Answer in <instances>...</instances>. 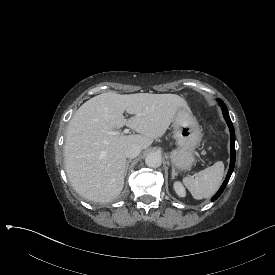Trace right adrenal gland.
I'll return each mask as SVG.
<instances>
[{"mask_svg":"<svg viewBox=\"0 0 275 275\" xmlns=\"http://www.w3.org/2000/svg\"><path fill=\"white\" fill-rule=\"evenodd\" d=\"M131 159H129L127 162H126V167H125V175L127 174V171H128V167H129V164L131 163Z\"/></svg>","mask_w":275,"mask_h":275,"instance_id":"2a0ac1e0","label":"right adrenal gland"}]
</instances>
